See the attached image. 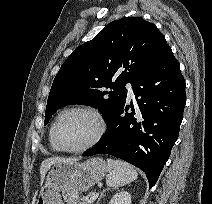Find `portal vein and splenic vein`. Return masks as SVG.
I'll return each mask as SVG.
<instances>
[{
    "mask_svg": "<svg viewBox=\"0 0 212 204\" xmlns=\"http://www.w3.org/2000/svg\"><path fill=\"white\" fill-rule=\"evenodd\" d=\"M97 197H98V193H93L91 195L90 199H88L87 203H89V204L93 203L96 200Z\"/></svg>",
    "mask_w": 212,
    "mask_h": 204,
    "instance_id": "18ae733b",
    "label": "portal vein and splenic vein"
}]
</instances>
